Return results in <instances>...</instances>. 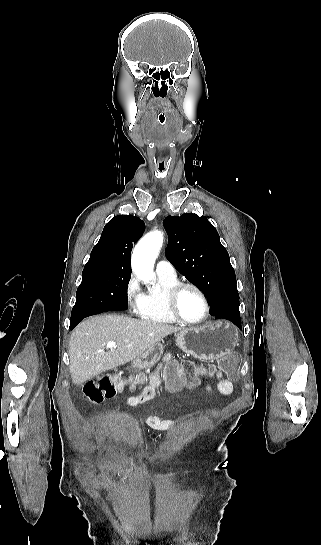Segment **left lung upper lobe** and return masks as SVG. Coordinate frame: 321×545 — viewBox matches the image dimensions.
Masks as SVG:
<instances>
[{
  "label": "left lung upper lobe",
  "mask_w": 321,
  "mask_h": 545,
  "mask_svg": "<svg viewBox=\"0 0 321 545\" xmlns=\"http://www.w3.org/2000/svg\"><path fill=\"white\" fill-rule=\"evenodd\" d=\"M163 225L169 237L167 259L204 293L210 309L239 301L229 254L207 217L193 213L168 216Z\"/></svg>",
  "instance_id": "5c2ea615"
}]
</instances>
